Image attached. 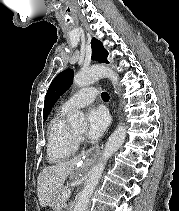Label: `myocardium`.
<instances>
[{
    "mask_svg": "<svg viewBox=\"0 0 179 211\" xmlns=\"http://www.w3.org/2000/svg\"><path fill=\"white\" fill-rule=\"evenodd\" d=\"M73 134H74L76 140L79 141L80 140V137H81L80 134H78V133H76L74 131H73Z\"/></svg>",
    "mask_w": 179,
    "mask_h": 211,
    "instance_id": "myocardium-1",
    "label": "myocardium"
}]
</instances>
